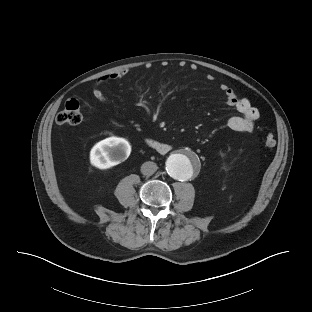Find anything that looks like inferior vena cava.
Segmentation results:
<instances>
[{
	"label": "inferior vena cava",
	"instance_id": "obj_1",
	"mask_svg": "<svg viewBox=\"0 0 312 312\" xmlns=\"http://www.w3.org/2000/svg\"><path fill=\"white\" fill-rule=\"evenodd\" d=\"M157 169V164L151 161L145 162L141 166V172L145 176H151L157 171Z\"/></svg>",
	"mask_w": 312,
	"mask_h": 312
}]
</instances>
